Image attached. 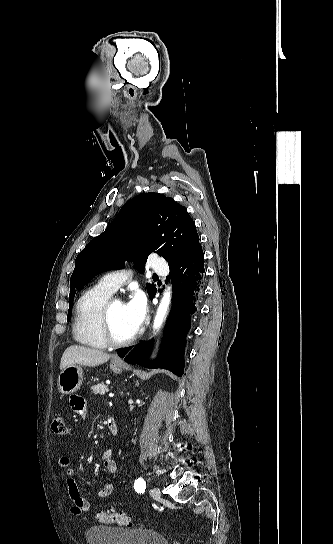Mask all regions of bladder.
Listing matches in <instances>:
<instances>
[{"instance_id": "31cf9c89", "label": "bladder", "mask_w": 333, "mask_h": 544, "mask_svg": "<svg viewBox=\"0 0 333 544\" xmlns=\"http://www.w3.org/2000/svg\"><path fill=\"white\" fill-rule=\"evenodd\" d=\"M88 544H169L161 533L151 529H129L95 525L87 529Z\"/></svg>"}]
</instances>
